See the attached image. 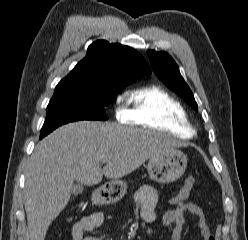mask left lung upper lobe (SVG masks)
Listing matches in <instances>:
<instances>
[{
  "mask_svg": "<svg viewBox=\"0 0 248 240\" xmlns=\"http://www.w3.org/2000/svg\"><path fill=\"white\" fill-rule=\"evenodd\" d=\"M147 54L157 77L168 88L181 96L190 106L197 110V103L193 97L192 91L181 76L179 67L173 58L163 51L156 52L154 50H149Z\"/></svg>",
  "mask_w": 248,
  "mask_h": 240,
  "instance_id": "left-lung-upper-lobe-1",
  "label": "left lung upper lobe"
}]
</instances>
